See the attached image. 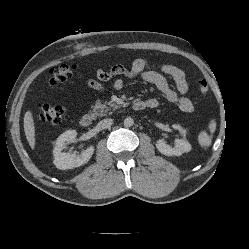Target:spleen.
Masks as SVG:
<instances>
[{
	"mask_svg": "<svg viewBox=\"0 0 249 249\" xmlns=\"http://www.w3.org/2000/svg\"><path fill=\"white\" fill-rule=\"evenodd\" d=\"M208 128L211 134L215 132L216 130L215 120L210 121ZM198 142L201 147L208 148L212 143V136L208 135L206 131H201L198 135Z\"/></svg>",
	"mask_w": 249,
	"mask_h": 249,
	"instance_id": "3e777b00",
	"label": "spleen"
}]
</instances>
